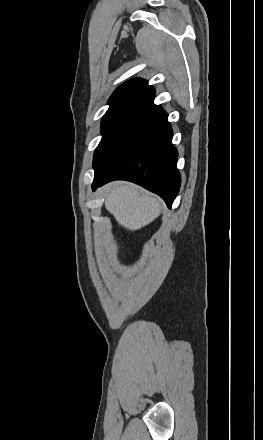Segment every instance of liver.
<instances>
[{
	"instance_id": "liver-1",
	"label": "liver",
	"mask_w": 263,
	"mask_h": 440,
	"mask_svg": "<svg viewBox=\"0 0 263 440\" xmlns=\"http://www.w3.org/2000/svg\"><path fill=\"white\" fill-rule=\"evenodd\" d=\"M105 208L119 225L135 231L151 223L162 205L149 193L132 184L112 183L104 187Z\"/></svg>"
}]
</instances>
